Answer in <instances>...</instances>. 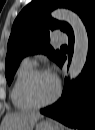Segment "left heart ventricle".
<instances>
[{
    "label": "left heart ventricle",
    "instance_id": "left-heart-ventricle-1",
    "mask_svg": "<svg viewBox=\"0 0 95 130\" xmlns=\"http://www.w3.org/2000/svg\"><path fill=\"white\" fill-rule=\"evenodd\" d=\"M57 90L55 79L49 73L37 75L31 85V94L38 102L51 99Z\"/></svg>",
    "mask_w": 95,
    "mask_h": 130
}]
</instances>
